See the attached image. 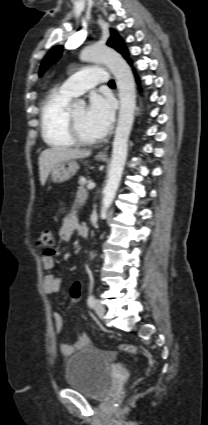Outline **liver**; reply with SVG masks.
Segmentation results:
<instances>
[{"mask_svg": "<svg viewBox=\"0 0 208 425\" xmlns=\"http://www.w3.org/2000/svg\"><path fill=\"white\" fill-rule=\"evenodd\" d=\"M90 155L91 151L67 147H52L42 151L39 156V174L41 185H45L50 172L57 163L67 160L87 158Z\"/></svg>", "mask_w": 208, "mask_h": 425, "instance_id": "obj_1", "label": "liver"}]
</instances>
